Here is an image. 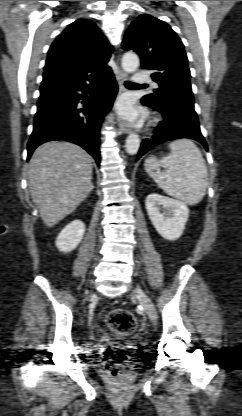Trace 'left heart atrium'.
Returning a JSON list of instances; mask_svg holds the SVG:
<instances>
[{
    "label": "left heart atrium",
    "mask_w": 242,
    "mask_h": 416,
    "mask_svg": "<svg viewBox=\"0 0 242 416\" xmlns=\"http://www.w3.org/2000/svg\"><path fill=\"white\" fill-rule=\"evenodd\" d=\"M118 110L122 116L129 120H135L139 115V111L128 100H122L118 104Z\"/></svg>",
    "instance_id": "1"
}]
</instances>
